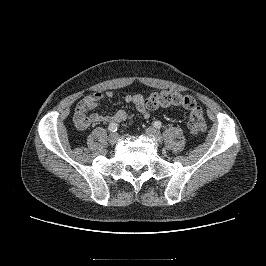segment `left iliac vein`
Wrapping results in <instances>:
<instances>
[{"label": "left iliac vein", "mask_w": 266, "mask_h": 266, "mask_svg": "<svg viewBox=\"0 0 266 266\" xmlns=\"http://www.w3.org/2000/svg\"><path fill=\"white\" fill-rule=\"evenodd\" d=\"M145 133L148 137L153 138L154 140H156L157 142H161L162 141V135L159 132V130L153 128V127H149L145 129Z\"/></svg>", "instance_id": "4c4485c4"}]
</instances>
